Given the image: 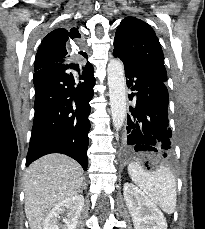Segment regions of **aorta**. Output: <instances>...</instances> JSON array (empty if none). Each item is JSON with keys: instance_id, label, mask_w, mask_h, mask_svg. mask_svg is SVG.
Wrapping results in <instances>:
<instances>
[{"instance_id": "aorta-1", "label": "aorta", "mask_w": 205, "mask_h": 229, "mask_svg": "<svg viewBox=\"0 0 205 229\" xmlns=\"http://www.w3.org/2000/svg\"><path fill=\"white\" fill-rule=\"evenodd\" d=\"M107 77L111 114L114 128L121 129L126 118V83L124 67L119 59L108 63Z\"/></svg>"}]
</instances>
